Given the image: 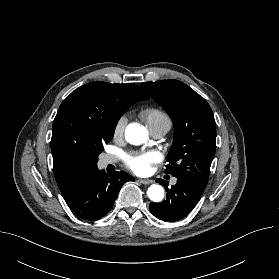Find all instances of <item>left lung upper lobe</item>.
<instances>
[{
	"label": "left lung upper lobe",
	"instance_id": "obj_1",
	"mask_svg": "<svg viewBox=\"0 0 279 279\" xmlns=\"http://www.w3.org/2000/svg\"><path fill=\"white\" fill-rule=\"evenodd\" d=\"M174 124L166 173L206 187L215 154L216 124L207 101L178 80L141 83Z\"/></svg>",
	"mask_w": 279,
	"mask_h": 279
}]
</instances>
